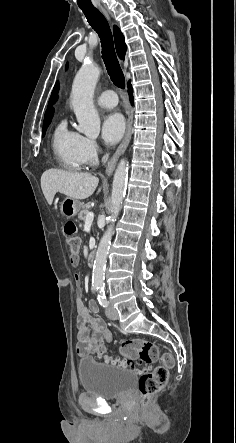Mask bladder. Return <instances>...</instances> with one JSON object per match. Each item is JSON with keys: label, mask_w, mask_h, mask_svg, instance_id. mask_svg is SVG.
<instances>
[{"label": "bladder", "mask_w": 236, "mask_h": 443, "mask_svg": "<svg viewBox=\"0 0 236 443\" xmlns=\"http://www.w3.org/2000/svg\"><path fill=\"white\" fill-rule=\"evenodd\" d=\"M79 377L86 393L103 399L122 398L130 393L136 383V373L82 358Z\"/></svg>", "instance_id": "1"}]
</instances>
